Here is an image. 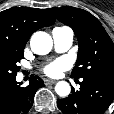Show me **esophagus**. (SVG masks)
I'll return each mask as SVG.
<instances>
[{
  "label": "esophagus",
  "mask_w": 114,
  "mask_h": 114,
  "mask_svg": "<svg viewBox=\"0 0 114 114\" xmlns=\"http://www.w3.org/2000/svg\"><path fill=\"white\" fill-rule=\"evenodd\" d=\"M56 82H57L56 80H51V79H45V80H44V83H45L46 85L55 84Z\"/></svg>",
  "instance_id": "34e87169"
}]
</instances>
